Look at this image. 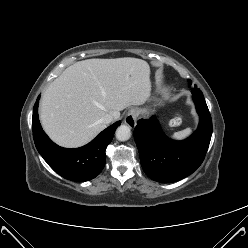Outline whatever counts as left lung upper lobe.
Wrapping results in <instances>:
<instances>
[{"label":"left lung upper lobe","mask_w":248,"mask_h":248,"mask_svg":"<svg viewBox=\"0 0 248 248\" xmlns=\"http://www.w3.org/2000/svg\"><path fill=\"white\" fill-rule=\"evenodd\" d=\"M188 82H189V86H191V81L189 80ZM194 88H196V86Z\"/></svg>","instance_id":"left-lung-upper-lobe-1"}]
</instances>
